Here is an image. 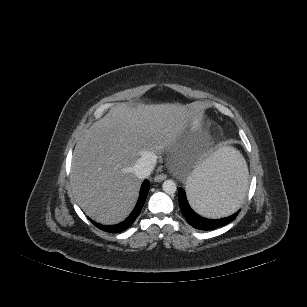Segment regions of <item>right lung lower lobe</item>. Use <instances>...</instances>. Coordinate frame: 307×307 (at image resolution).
I'll list each match as a JSON object with an SVG mask.
<instances>
[{"label":"right lung lower lobe","mask_w":307,"mask_h":307,"mask_svg":"<svg viewBox=\"0 0 307 307\" xmlns=\"http://www.w3.org/2000/svg\"><path fill=\"white\" fill-rule=\"evenodd\" d=\"M149 188H150V183H149L148 180H145L143 182L142 186H141L140 196H139V199L137 201V204H136L134 210L131 212V214L123 222L116 224V225L106 226V225L98 224V223H96L92 220H90V221L96 227H98L99 229H101L103 231H107V232L117 233V232H122V231L128 229L133 224V222L135 221L137 216L139 215V213H140V211H141V209H142V207L145 203Z\"/></svg>","instance_id":"1"}]
</instances>
